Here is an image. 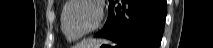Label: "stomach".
<instances>
[{"instance_id": "stomach-1", "label": "stomach", "mask_w": 213, "mask_h": 48, "mask_svg": "<svg viewBox=\"0 0 213 48\" xmlns=\"http://www.w3.org/2000/svg\"><path fill=\"white\" fill-rule=\"evenodd\" d=\"M110 42L109 41H105V40H102V41H99L97 43H95L94 45L88 47V48H101L102 46H110Z\"/></svg>"}]
</instances>
